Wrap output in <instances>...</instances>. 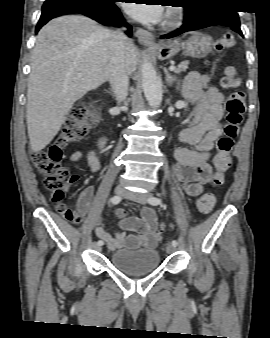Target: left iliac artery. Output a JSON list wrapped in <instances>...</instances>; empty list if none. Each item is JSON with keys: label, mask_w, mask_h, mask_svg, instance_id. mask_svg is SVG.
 <instances>
[{"label": "left iliac artery", "mask_w": 270, "mask_h": 338, "mask_svg": "<svg viewBox=\"0 0 270 338\" xmlns=\"http://www.w3.org/2000/svg\"><path fill=\"white\" fill-rule=\"evenodd\" d=\"M148 202L151 204V205H159L160 203H161V200L159 199V198H157V197H150L149 199H148ZM171 244L173 245V246H177V241L176 240H173L172 242H171Z\"/></svg>", "instance_id": "left-iliac-artery-1"}]
</instances>
